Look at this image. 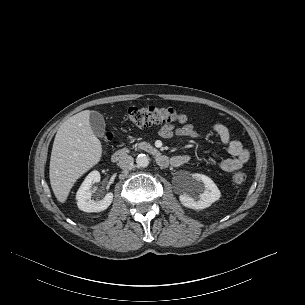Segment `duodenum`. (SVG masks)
I'll return each mask as SVG.
<instances>
[{
    "label": "duodenum",
    "mask_w": 305,
    "mask_h": 305,
    "mask_svg": "<svg viewBox=\"0 0 305 305\" xmlns=\"http://www.w3.org/2000/svg\"><path fill=\"white\" fill-rule=\"evenodd\" d=\"M147 151L155 159L156 163L160 167H168L169 164L171 163V160L156 148H147ZM129 153L130 151L128 149H118L112 153L111 160L114 163H117L120 160H122L124 157H126Z\"/></svg>",
    "instance_id": "duodenum-1"
}]
</instances>
